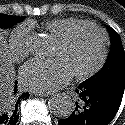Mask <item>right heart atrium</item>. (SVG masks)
I'll return each mask as SVG.
<instances>
[{
	"mask_svg": "<svg viewBox=\"0 0 125 125\" xmlns=\"http://www.w3.org/2000/svg\"><path fill=\"white\" fill-rule=\"evenodd\" d=\"M31 26L22 24L17 26L10 35L8 49L14 61H22L32 51Z\"/></svg>",
	"mask_w": 125,
	"mask_h": 125,
	"instance_id": "obj_1",
	"label": "right heart atrium"
}]
</instances>
